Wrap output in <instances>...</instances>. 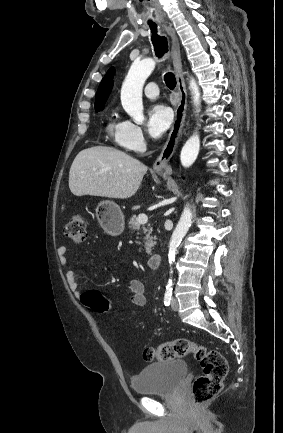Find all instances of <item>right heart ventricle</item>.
<instances>
[{
	"label": "right heart ventricle",
	"mask_w": 283,
	"mask_h": 433,
	"mask_svg": "<svg viewBox=\"0 0 283 433\" xmlns=\"http://www.w3.org/2000/svg\"><path fill=\"white\" fill-rule=\"evenodd\" d=\"M119 126L120 124H116L115 115L114 114L109 115L106 122V130L109 133H112L116 131L119 128Z\"/></svg>",
	"instance_id": "1"
}]
</instances>
